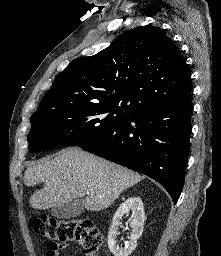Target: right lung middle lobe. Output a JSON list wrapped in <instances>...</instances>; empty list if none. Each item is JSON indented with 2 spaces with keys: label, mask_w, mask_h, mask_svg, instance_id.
<instances>
[{
  "label": "right lung middle lobe",
  "mask_w": 221,
  "mask_h": 256,
  "mask_svg": "<svg viewBox=\"0 0 221 256\" xmlns=\"http://www.w3.org/2000/svg\"><path fill=\"white\" fill-rule=\"evenodd\" d=\"M134 115L113 104H79L31 116L29 149L80 145Z\"/></svg>",
  "instance_id": "obj_1"
}]
</instances>
